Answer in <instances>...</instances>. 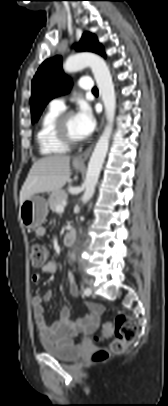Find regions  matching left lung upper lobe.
<instances>
[{"mask_svg": "<svg viewBox=\"0 0 168 406\" xmlns=\"http://www.w3.org/2000/svg\"><path fill=\"white\" fill-rule=\"evenodd\" d=\"M77 51H91L105 57L103 47L98 43L95 35L85 32L76 47ZM60 56L45 60L32 80L31 114L33 121H37L46 104L62 94L69 92L72 82L64 74Z\"/></svg>", "mask_w": 168, "mask_h": 406, "instance_id": "left-lung-upper-lobe-1", "label": "left lung upper lobe"}]
</instances>
